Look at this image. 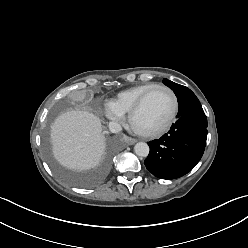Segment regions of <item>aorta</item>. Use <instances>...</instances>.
Returning a JSON list of instances; mask_svg holds the SVG:
<instances>
[{"mask_svg": "<svg viewBox=\"0 0 248 248\" xmlns=\"http://www.w3.org/2000/svg\"><path fill=\"white\" fill-rule=\"evenodd\" d=\"M134 151H135L136 155H138L140 157H147L149 154V146L145 142H138L134 146Z\"/></svg>", "mask_w": 248, "mask_h": 248, "instance_id": "obj_1", "label": "aorta"}]
</instances>
